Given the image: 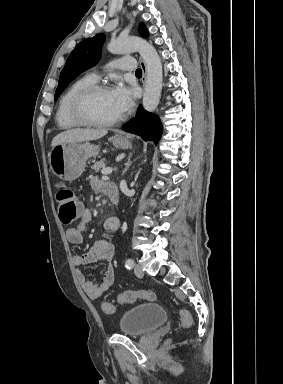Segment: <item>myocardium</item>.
I'll list each match as a JSON object with an SVG mask.
<instances>
[{
	"mask_svg": "<svg viewBox=\"0 0 283 384\" xmlns=\"http://www.w3.org/2000/svg\"><path fill=\"white\" fill-rule=\"evenodd\" d=\"M108 88L109 87L106 84L94 83L83 88L75 95L70 104L69 115L71 120L77 126L85 128L106 129L113 127L121 121V115L107 122H98L86 118L83 114V107L86 101L98 91L106 90Z\"/></svg>",
	"mask_w": 283,
	"mask_h": 384,
	"instance_id": "myocardium-1",
	"label": "myocardium"
}]
</instances>
